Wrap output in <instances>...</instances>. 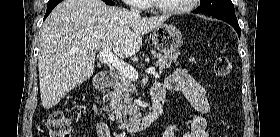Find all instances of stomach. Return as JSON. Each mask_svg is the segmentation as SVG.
Instances as JSON below:
<instances>
[{"label":"stomach","mask_w":280,"mask_h":137,"mask_svg":"<svg viewBox=\"0 0 280 137\" xmlns=\"http://www.w3.org/2000/svg\"><path fill=\"white\" fill-rule=\"evenodd\" d=\"M151 40L155 49L164 55L176 52L183 43L180 30L172 24H161L155 28Z\"/></svg>","instance_id":"0dacf381"}]
</instances>
